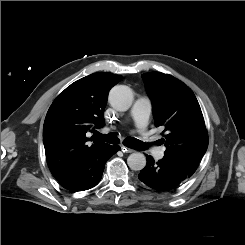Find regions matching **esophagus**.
I'll list each match as a JSON object with an SVG mask.
<instances>
[{
	"instance_id": "obj_1",
	"label": "esophagus",
	"mask_w": 245,
	"mask_h": 245,
	"mask_svg": "<svg viewBox=\"0 0 245 245\" xmlns=\"http://www.w3.org/2000/svg\"><path fill=\"white\" fill-rule=\"evenodd\" d=\"M121 151L124 152V153H132V152H134L133 149H130V148L124 146V145H121Z\"/></svg>"
}]
</instances>
